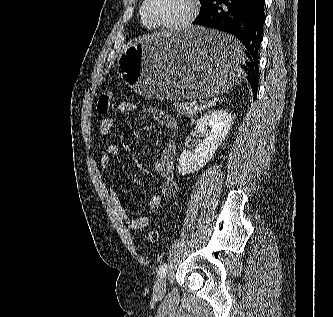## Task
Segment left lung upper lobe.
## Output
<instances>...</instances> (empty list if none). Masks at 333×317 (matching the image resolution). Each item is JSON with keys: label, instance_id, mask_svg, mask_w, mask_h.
Wrapping results in <instances>:
<instances>
[{"label": "left lung upper lobe", "instance_id": "5c2ea615", "mask_svg": "<svg viewBox=\"0 0 333 317\" xmlns=\"http://www.w3.org/2000/svg\"><path fill=\"white\" fill-rule=\"evenodd\" d=\"M210 0H200L201 3V12L205 10V8L208 6Z\"/></svg>", "mask_w": 333, "mask_h": 317}]
</instances>
